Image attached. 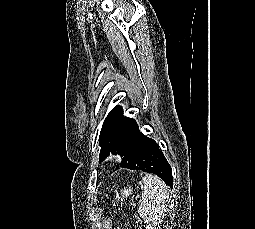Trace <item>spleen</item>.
I'll list each match as a JSON object with an SVG mask.
<instances>
[{
    "mask_svg": "<svg viewBox=\"0 0 255 229\" xmlns=\"http://www.w3.org/2000/svg\"><path fill=\"white\" fill-rule=\"evenodd\" d=\"M142 180V201L138 213L148 223H160L168 206L167 185L152 174H146Z\"/></svg>",
    "mask_w": 255,
    "mask_h": 229,
    "instance_id": "obj_1",
    "label": "spleen"
}]
</instances>
